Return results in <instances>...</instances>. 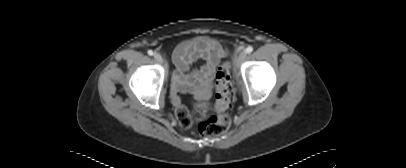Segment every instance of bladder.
I'll list each match as a JSON object with an SVG mask.
<instances>
[{"label":"bladder","mask_w":406,"mask_h":168,"mask_svg":"<svg viewBox=\"0 0 406 168\" xmlns=\"http://www.w3.org/2000/svg\"><path fill=\"white\" fill-rule=\"evenodd\" d=\"M204 39H205L204 37H198V38H195V39H193L191 41H188V43H198V42H200V41H202Z\"/></svg>","instance_id":"31cf9c89"}]
</instances>
